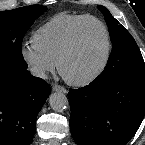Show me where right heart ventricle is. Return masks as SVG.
<instances>
[{"mask_svg": "<svg viewBox=\"0 0 145 145\" xmlns=\"http://www.w3.org/2000/svg\"><path fill=\"white\" fill-rule=\"evenodd\" d=\"M86 14L59 13L40 26L32 36V43L57 63L75 24Z\"/></svg>", "mask_w": 145, "mask_h": 145, "instance_id": "obj_1", "label": "right heart ventricle"}]
</instances>
